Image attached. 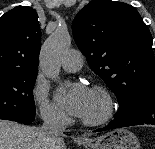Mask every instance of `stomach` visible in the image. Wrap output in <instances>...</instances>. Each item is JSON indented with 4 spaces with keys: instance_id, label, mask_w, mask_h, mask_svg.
Masks as SVG:
<instances>
[{
    "instance_id": "stomach-1",
    "label": "stomach",
    "mask_w": 155,
    "mask_h": 149,
    "mask_svg": "<svg viewBox=\"0 0 155 149\" xmlns=\"http://www.w3.org/2000/svg\"><path fill=\"white\" fill-rule=\"evenodd\" d=\"M82 144L85 149H140L137 137L127 129H115Z\"/></svg>"
}]
</instances>
